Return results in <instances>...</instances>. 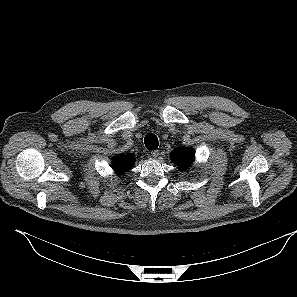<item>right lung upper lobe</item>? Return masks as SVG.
Instances as JSON below:
<instances>
[{"label":"right lung upper lobe","instance_id":"cb5924a9","mask_svg":"<svg viewBox=\"0 0 297 297\" xmlns=\"http://www.w3.org/2000/svg\"><path fill=\"white\" fill-rule=\"evenodd\" d=\"M134 162L135 158L132 155L119 156L114 159L113 168L117 173L123 174L134 165Z\"/></svg>","mask_w":297,"mask_h":297}]
</instances>
